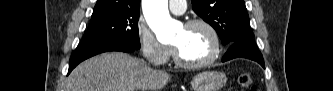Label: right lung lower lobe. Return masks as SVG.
Listing matches in <instances>:
<instances>
[{
  "instance_id": "obj_1",
  "label": "right lung lower lobe",
  "mask_w": 333,
  "mask_h": 91,
  "mask_svg": "<svg viewBox=\"0 0 333 91\" xmlns=\"http://www.w3.org/2000/svg\"><path fill=\"white\" fill-rule=\"evenodd\" d=\"M137 49L129 47L120 42H96V43H84L80 42L70 58L68 74L82 61L90 58L94 55L108 52V51H122V52H133Z\"/></svg>"
}]
</instances>
